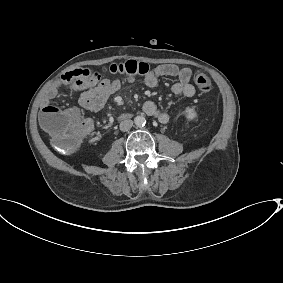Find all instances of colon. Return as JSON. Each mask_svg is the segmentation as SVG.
<instances>
[{"label":"colon","instance_id":"5ec220e1","mask_svg":"<svg viewBox=\"0 0 283 283\" xmlns=\"http://www.w3.org/2000/svg\"><path fill=\"white\" fill-rule=\"evenodd\" d=\"M106 71L135 78L146 75L149 72V66L143 62L130 60L126 63L112 64ZM194 83L202 92H209L212 89L210 78L204 74L195 75ZM39 121L43 129L51 136L56 149L63 153L74 151L92 129L91 122L77 109L62 111L56 107H49L42 111Z\"/></svg>","mask_w":283,"mask_h":283}]
</instances>
